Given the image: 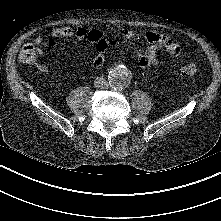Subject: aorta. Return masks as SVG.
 <instances>
[{
	"instance_id": "1",
	"label": "aorta",
	"mask_w": 221,
	"mask_h": 221,
	"mask_svg": "<svg viewBox=\"0 0 221 221\" xmlns=\"http://www.w3.org/2000/svg\"><path fill=\"white\" fill-rule=\"evenodd\" d=\"M131 73L125 66H116L110 69L108 80L112 88L125 89L131 83Z\"/></svg>"
}]
</instances>
